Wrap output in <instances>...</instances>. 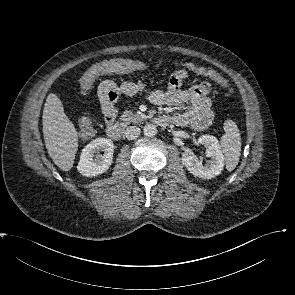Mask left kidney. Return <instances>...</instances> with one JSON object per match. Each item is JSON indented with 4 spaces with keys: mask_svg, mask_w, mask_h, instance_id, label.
Listing matches in <instances>:
<instances>
[{
    "mask_svg": "<svg viewBox=\"0 0 295 295\" xmlns=\"http://www.w3.org/2000/svg\"><path fill=\"white\" fill-rule=\"evenodd\" d=\"M198 144L206 147V156L211 157V160L204 166L192 153L185 152L182 154V162L194 176L207 179L214 178L224 168V155L218 140L212 135H202L198 139Z\"/></svg>",
    "mask_w": 295,
    "mask_h": 295,
    "instance_id": "5707ae66",
    "label": "left kidney"
}]
</instances>
